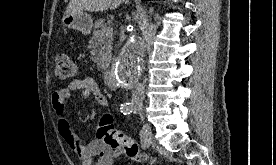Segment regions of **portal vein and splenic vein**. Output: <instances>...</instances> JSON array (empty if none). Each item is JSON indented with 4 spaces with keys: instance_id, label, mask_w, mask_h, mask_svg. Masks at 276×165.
<instances>
[{
    "instance_id": "portal-vein-and-splenic-vein-1",
    "label": "portal vein and splenic vein",
    "mask_w": 276,
    "mask_h": 165,
    "mask_svg": "<svg viewBox=\"0 0 276 165\" xmlns=\"http://www.w3.org/2000/svg\"><path fill=\"white\" fill-rule=\"evenodd\" d=\"M112 33H113V31H112V28H111V27L105 26V27H103L102 30H101V34H102L103 36H106V37H111V36H112Z\"/></svg>"
}]
</instances>
